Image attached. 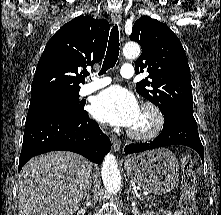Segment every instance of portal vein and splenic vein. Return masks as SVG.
Masks as SVG:
<instances>
[{"label":"portal vein and splenic vein","instance_id":"18ae733b","mask_svg":"<svg viewBox=\"0 0 221 215\" xmlns=\"http://www.w3.org/2000/svg\"><path fill=\"white\" fill-rule=\"evenodd\" d=\"M138 198H139L140 200H142V197H141L140 195H138Z\"/></svg>","mask_w":221,"mask_h":215}]
</instances>
